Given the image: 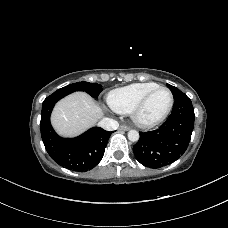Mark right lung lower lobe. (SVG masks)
Instances as JSON below:
<instances>
[{
    "mask_svg": "<svg viewBox=\"0 0 228 228\" xmlns=\"http://www.w3.org/2000/svg\"><path fill=\"white\" fill-rule=\"evenodd\" d=\"M62 97L53 93L43 102L40 122L43 143L50 157L61 166L78 172L88 171L101 161L112 132L94 127L76 138L59 137L51 126L50 114Z\"/></svg>",
    "mask_w": 228,
    "mask_h": 228,
    "instance_id": "1",
    "label": "right lung lower lobe"
}]
</instances>
